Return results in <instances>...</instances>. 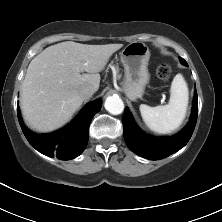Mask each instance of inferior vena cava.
Listing matches in <instances>:
<instances>
[{"mask_svg":"<svg viewBox=\"0 0 222 222\" xmlns=\"http://www.w3.org/2000/svg\"><path fill=\"white\" fill-rule=\"evenodd\" d=\"M95 91L96 90L92 85H84L79 89V93L84 99L91 97Z\"/></svg>","mask_w":222,"mask_h":222,"instance_id":"inferior-vena-cava-1","label":"inferior vena cava"}]
</instances>
